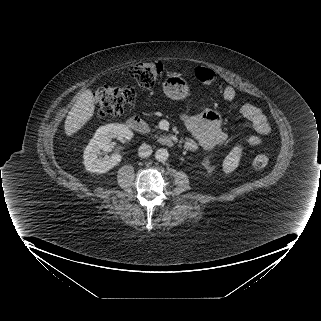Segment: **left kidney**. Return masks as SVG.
Listing matches in <instances>:
<instances>
[{
	"instance_id": "left-kidney-1",
	"label": "left kidney",
	"mask_w": 321,
	"mask_h": 321,
	"mask_svg": "<svg viewBox=\"0 0 321 321\" xmlns=\"http://www.w3.org/2000/svg\"><path fill=\"white\" fill-rule=\"evenodd\" d=\"M204 164H205V165H208V164H209V160H208V159H205V160H204Z\"/></svg>"
}]
</instances>
